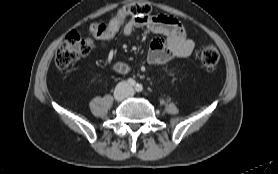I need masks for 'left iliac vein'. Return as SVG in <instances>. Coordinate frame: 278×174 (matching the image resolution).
<instances>
[{"instance_id":"left-iliac-vein-1","label":"left iliac vein","mask_w":278,"mask_h":174,"mask_svg":"<svg viewBox=\"0 0 278 174\" xmlns=\"http://www.w3.org/2000/svg\"><path fill=\"white\" fill-rule=\"evenodd\" d=\"M129 95H132V93H131V92H129Z\"/></svg>"}]
</instances>
